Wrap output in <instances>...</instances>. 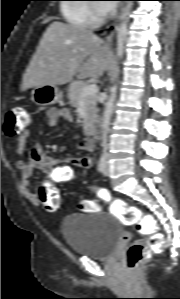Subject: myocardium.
<instances>
[{
	"instance_id": "obj_1",
	"label": "myocardium",
	"mask_w": 180,
	"mask_h": 299,
	"mask_svg": "<svg viewBox=\"0 0 180 299\" xmlns=\"http://www.w3.org/2000/svg\"><path fill=\"white\" fill-rule=\"evenodd\" d=\"M93 24L98 25L103 22V18L96 5L91 6Z\"/></svg>"
}]
</instances>
